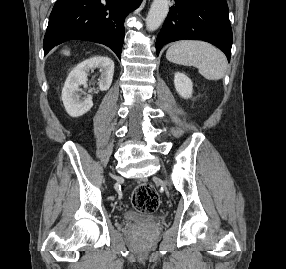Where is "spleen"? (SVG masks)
<instances>
[{
	"mask_svg": "<svg viewBox=\"0 0 286 269\" xmlns=\"http://www.w3.org/2000/svg\"><path fill=\"white\" fill-rule=\"evenodd\" d=\"M166 58L173 63L194 66L207 80H219L225 76L227 59L213 45L203 41H178L166 52Z\"/></svg>",
	"mask_w": 286,
	"mask_h": 269,
	"instance_id": "obj_1",
	"label": "spleen"
}]
</instances>
